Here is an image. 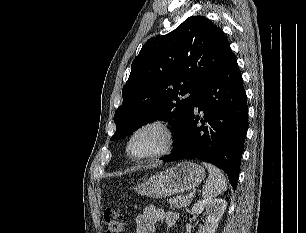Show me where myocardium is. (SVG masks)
Returning a JSON list of instances; mask_svg holds the SVG:
<instances>
[{
	"mask_svg": "<svg viewBox=\"0 0 306 233\" xmlns=\"http://www.w3.org/2000/svg\"><path fill=\"white\" fill-rule=\"evenodd\" d=\"M150 127H155L160 129L163 134H164V144L162 146V148L160 150H158L157 152L153 153V154H149L146 156H133L130 153V143L133 140V138L135 137V135L137 133H139L140 131L146 129V128H150ZM175 140H176V134H175V130L172 126V124L163 118H154V119H150L147 120L141 124H139L137 127H135L131 133L129 134L126 143H125V154L127 155L128 158H130L133 161H147V160H151V159H155V158H159L162 157L166 154H168L169 152L172 151V149L174 148L175 145Z\"/></svg>",
	"mask_w": 306,
	"mask_h": 233,
	"instance_id": "obj_1",
	"label": "myocardium"
}]
</instances>
